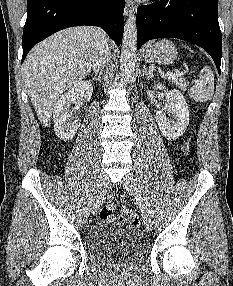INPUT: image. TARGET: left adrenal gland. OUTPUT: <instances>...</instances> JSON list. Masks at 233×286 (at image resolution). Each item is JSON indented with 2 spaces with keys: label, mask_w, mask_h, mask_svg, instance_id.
I'll return each mask as SVG.
<instances>
[{
  "label": "left adrenal gland",
  "mask_w": 233,
  "mask_h": 286,
  "mask_svg": "<svg viewBox=\"0 0 233 286\" xmlns=\"http://www.w3.org/2000/svg\"><path fill=\"white\" fill-rule=\"evenodd\" d=\"M142 76H146L147 79H150L153 77V71L151 69L148 71L146 65H143Z\"/></svg>",
  "instance_id": "a2214340"
}]
</instances>
